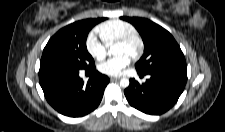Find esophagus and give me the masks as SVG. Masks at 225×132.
Returning <instances> with one entry per match:
<instances>
[{"instance_id":"1","label":"esophagus","mask_w":225,"mask_h":132,"mask_svg":"<svg viewBox=\"0 0 225 132\" xmlns=\"http://www.w3.org/2000/svg\"><path fill=\"white\" fill-rule=\"evenodd\" d=\"M119 79H120V77H110L111 81H116V80H119Z\"/></svg>"}]
</instances>
